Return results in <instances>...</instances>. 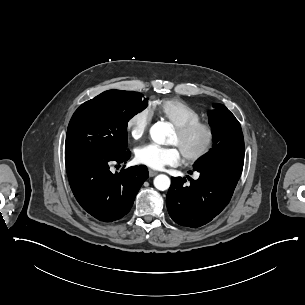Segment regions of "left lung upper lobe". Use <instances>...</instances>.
<instances>
[{
	"mask_svg": "<svg viewBox=\"0 0 305 305\" xmlns=\"http://www.w3.org/2000/svg\"><path fill=\"white\" fill-rule=\"evenodd\" d=\"M209 112L213 149L197 165L208 163H244V138L240 123L222 104Z\"/></svg>",
	"mask_w": 305,
	"mask_h": 305,
	"instance_id": "left-lung-upper-lobe-1",
	"label": "left lung upper lobe"
}]
</instances>
